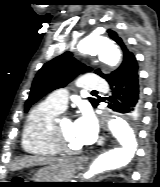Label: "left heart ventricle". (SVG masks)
I'll return each mask as SVG.
<instances>
[{
    "label": "left heart ventricle",
    "mask_w": 160,
    "mask_h": 187,
    "mask_svg": "<svg viewBox=\"0 0 160 187\" xmlns=\"http://www.w3.org/2000/svg\"><path fill=\"white\" fill-rule=\"evenodd\" d=\"M60 130L64 136L65 143L70 149H79L82 145L78 142L73 129V123L68 118H62L59 120Z\"/></svg>",
    "instance_id": "left-heart-ventricle-1"
}]
</instances>
